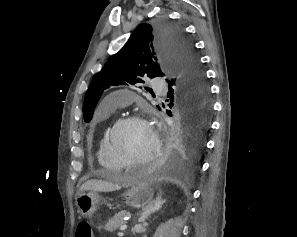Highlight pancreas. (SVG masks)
<instances>
[{
  "instance_id": "cf45deb5",
  "label": "pancreas",
  "mask_w": 297,
  "mask_h": 237,
  "mask_svg": "<svg viewBox=\"0 0 297 237\" xmlns=\"http://www.w3.org/2000/svg\"><path fill=\"white\" fill-rule=\"evenodd\" d=\"M126 211H121L115 214L105 225V230L109 232H114L119 227L124 224L123 218L126 216Z\"/></svg>"
}]
</instances>
